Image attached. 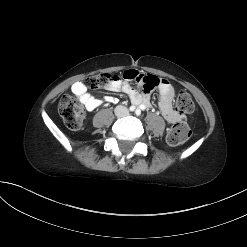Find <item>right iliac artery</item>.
<instances>
[{
  "mask_svg": "<svg viewBox=\"0 0 247 247\" xmlns=\"http://www.w3.org/2000/svg\"><path fill=\"white\" fill-rule=\"evenodd\" d=\"M129 110H130V111H134V110H135V107H134V106H131V107L129 108Z\"/></svg>",
  "mask_w": 247,
  "mask_h": 247,
  "instance_id": "right-iliac-artery-1",
  "label": "right iliac artery"
}]
</instances>
